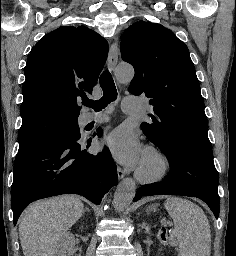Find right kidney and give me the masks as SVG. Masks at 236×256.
Here are the masks:
<instances>
[{
    "instance_id": "ca27d5eb",
    "label": "right kidney",
    "mask_w": 236,
    "mask_h": 256,
    "mask_svg": "<svg viewBox=\"0 0 236 256\" xmlns=\"http://www.w3.org/2000/svg\"><path fill=\"white\" fill-rule=\"evenodd\" d=\"M74 246V236L73 234H69V232H67L63 242H61V256H72L73 252H75Z\"/></svg>"
}]
</instances>
